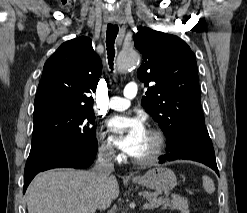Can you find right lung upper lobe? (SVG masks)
<instances>
[{"mask_svg":"<svg viewBox=\"0 0 247 213\" xmlns=\"http://www.w3.org/2000/svg\"><path fill=\"white\" fill-rule=\"evenodd\" d=\"M101 73L102 63L90 38L63 43L44 65L34 112L54 106L92 109L88 94L96 90Z\"/></svg>","mask_w":247,"mask_h":213,"instance_id":"cb5924a9","label":"right lung upper lobe"}]
</instances>
